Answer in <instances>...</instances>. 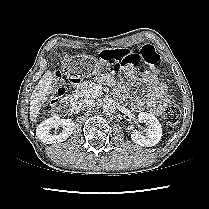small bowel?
I'll use <instances>...</instances> for the list:
<instances>
[{"label": "small bowel", "instance_id": "1", "mask_svg": "<svg viewBox=\"0 0 209 209\" xmlns=\"http://www.w3.org/2000/svg\"><path fill=\"white\" fill-rule=\"evenodd\" d=\"M125 74L128 78V86H132L140 78V71L135 64H128L125 67ZM142 81L147 86L145 97L131 96V104L135 111H149L154 115H161L171 102V98L167 93L166 84L158 75L150 71L142 73ZM112 82L111 79H108ZM126 89H118L117 94L124 96Z\"/></svg>", "mask_w": 209, "mask_h": 209}]
</instances>
